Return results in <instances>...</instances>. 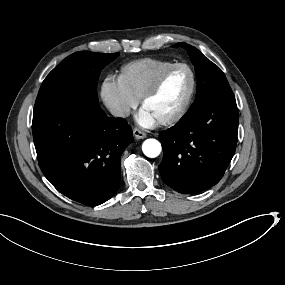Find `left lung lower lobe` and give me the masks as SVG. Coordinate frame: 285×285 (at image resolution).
Listing matches in <instances>:
<instances>
[{
    "instance_id": "1",
    "label": "left lung lower lobe",
    "mask_w": 285,
    "mask_h": 285,
    "mask_svg": "<svg viewBox=\"0 0 285 285\" xmlns=\"http://www.w3.org/2000/svg\"><path fill=\"white\" fill-rule=\"evenodd\" d=\"M238 109L235 98H217L190 110L159 139L163 182L183 194L217 184L236 149Z\"/></svg>"
}]
</instances>
